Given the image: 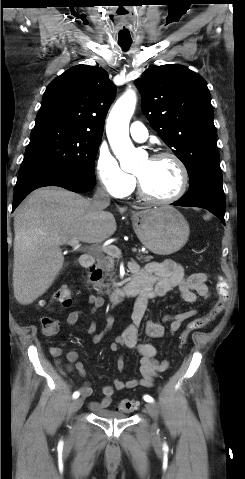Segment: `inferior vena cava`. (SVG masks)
Listing matches in <instances>:
<instances>
[{"mask_svg":"<svg viewBox=\"0 0 245 479\" xmlns=\"http://www.w3.org/2000/svg\"><path fill=\"white\" fill-rule=\"evenodd\" d=\"M93 201L100 208L104 209L110 204V196L104 188H97Z\"/></svg>","mask_w":245,"mask_h":479,"instance_id":"inferior-vena-cava-1","label":"inferior vena cava"}]
</instances>
